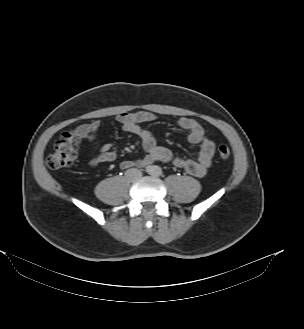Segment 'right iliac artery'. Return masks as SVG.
I'll return each instance as SVG.
<instances>
[{
  "instance_id": "82829eb1",
  "label": "right iliac artery",
  "mask_w": 304,
  "mask_h": 329,
  "mask_svg": "<svg viewBox=\"0 0 304 329\" xmlns=\"http://www.w3.org/2000/svg\"><path fill=\"white\" fill-rule=\"evenodd\" d=\"M148 172L151 170V168L150 167H147V169H146Z\"/></svg>"
}]
</instances>
